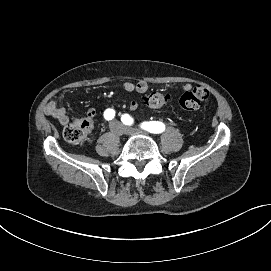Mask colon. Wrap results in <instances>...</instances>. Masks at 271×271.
<instances>
[{
	"instance_id": "5ec220e1",
	"label": "colon",
	"mask_w": 271,
	"mask_h": 271,
	"mask_svg": "<svg viewBox=\"0 0 271 271\" xmlns=\"http://www.w3.org/2000/svg\"><path fill=\"white\" fill-rule=\"evenodd\" d=\"M209 92L202 86H194L191 90L186 91L180 97V106L189 111L199 108L202 101L208 99ZM169 101V96L161 92H151L142 98V102L146 107L157 109L164 107ZM89 132V124L84 120L74 121L68 124L63 136L65 140L77 146H83L87 141Z\"/></svg>"
}]
</instances>
